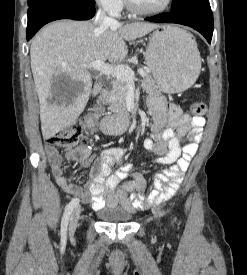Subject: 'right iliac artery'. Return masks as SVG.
Returning <instances> with one entry per match:
<instances>
[{
	"instance_id": "right-iliac-artery-1",
	"label": "right iliac artery",
	"mask_w": 247,
	"mask_h": 275,
	"mask_svg": "<svg viewBox=\"0 0 247 275\" xmlns=\"http://www.w3.org/2000/svg\"><path fill=\"white\" fill-rule=\"evenodd\" d=\"M78 204H79V199L74 198L66 206L63 217H62V221H61V235L62 236L66 235L70 215H71L72 211L74 210V208H76L78 206Z\"/></svg>"
}]
</instances>
